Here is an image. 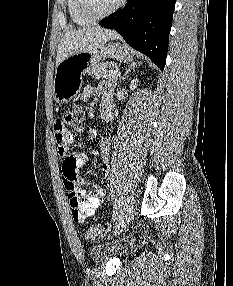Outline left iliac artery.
I'll use <instances>...</instances> for the list:
<instances>
[{
    "mask_svg": "<svg viewBox=\"0 0 233 286\" xmlns=\"http://www.w3.org/2000/svg\"><path fill=\"white\" fill-rule=\"evenodd\" d=\"M119 214V212H118V208H116L114 211H113V220L115 221L117 218H118V215Z\"/></svg>",
    "mask_w": 233,
    "mask_h": 286,
    "instance_id": "obj_1",
    "label": "left iliac artery"
}]
</instances>
